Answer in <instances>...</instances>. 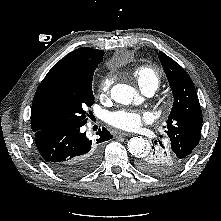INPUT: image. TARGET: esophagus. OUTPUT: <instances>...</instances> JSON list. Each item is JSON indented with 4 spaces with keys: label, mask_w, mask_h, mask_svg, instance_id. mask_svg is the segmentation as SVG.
<instances>
[{
    "label": "esophagus",
    "mask_w": 221,
    "mask_h": 221,
    "mask_svg": "<svg viewBox=\"0 0 221 221\" xmlns=\"http://www.w3.org/2000/svg\"><path fill=\"white\" fill-rule=\"evenodd\" d=\"M131 133H127V132H121V131H118L115 133V136L117 137H127V136H130Z\"/></svg>",
    "instance_id": "esophagus-1"
}]
</instances>
